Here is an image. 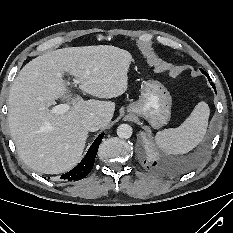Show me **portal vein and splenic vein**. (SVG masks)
Segmentation results:
<instances>
[{
  "label": "portal vein and splenic vein",
  "mask_w": 233,
  "mask_h": 233,
  "mask_svg": "<svg viewBox=\"0 0 233 233\" xmlns=\"http://www.w3.org/2000/svg\"><path fill=\"white\" fill-rule=\"evenodd\" d=\"M74 84H79V80L77 79H74ZM69 105L68 104H60V105H57V106H54L52 109H51V112L54 113V114H57V115H60V114H63L65 112H67L69 110Z\"/></svg>",
  "instance_id": "portal-vein-and-splenic-vein-1"
}]
</instances>
